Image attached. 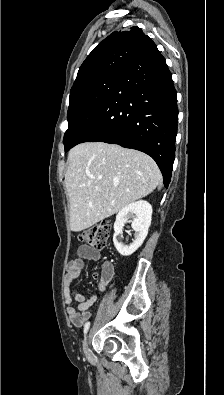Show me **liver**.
Masks as SVG:
<instances>
[{
  "label": "liver",
  "instance_id": "obj_1",
  "mask_svg": "<svg viewBox=\"0 0 224 395\" xmlns=\"http://www.w3.org/2000/svg\"><path fill=\"white\" fill-rule=\"evenodd\" d=\"M161 181L155 161L140 151L102 142L75 146L65 174L71 230L80 232L112 216Z\"/></svg>",
  "mask_w": 224,
  "mask_h": 395
}]
</instances>
